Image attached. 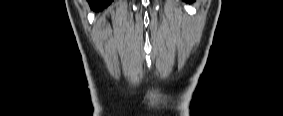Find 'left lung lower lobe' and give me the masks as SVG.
<instances>
[{"instance_id": "obj_1", "label": "left lung lower lobe", "mask_w": 283, "mask_h": 116, "mask_svg": "<svg viewBox=\"0 0 283 116\" xmlns=\"http://www.w3.org/2000/svg\"><path fill=\"white\" fill-rule=\"evenodd\" d=\"M184 1H185V2H189V3L192 2V0H184Z\"/></svg>"}]
</instances>
